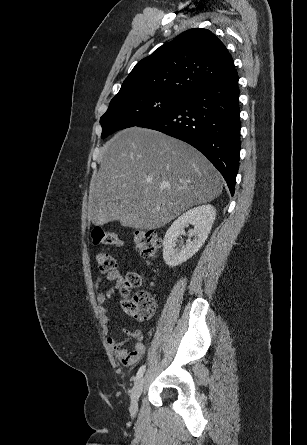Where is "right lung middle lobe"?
Masks as SVG:
<instances>
[{"mask_svg": "<svg viewBox=\"0 0 307 445\" xmlns=\"http://www.w3.org/2000/svg\"><path fill=\"white\" fill-rule=\"evenodd\" d=\"M184 96L162 94L117 95L100 118L102 138L138 126L175 108Z\"/></svg>", "mask_w": 307, "mask_h": 445, "instance_id": "obj_1", "label": "right lung middle lobe"}]
</instances>
